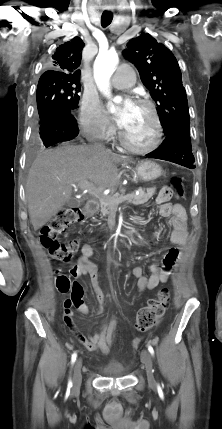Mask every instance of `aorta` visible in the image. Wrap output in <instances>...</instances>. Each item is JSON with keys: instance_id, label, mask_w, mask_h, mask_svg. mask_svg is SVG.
Here are the masks:
<instances>
[{"instance_id": "aorta-1", "label": "aorta", "mask_w": 222, "mask_h": 429, "mask_svg": "<svg viewBox=\"0 0 222 429\" xmlns=\"http://www.w3.org/2000/svg\"><path fill=\"white\" fill-rule=\"evenodd\" d=\"M118 54L114 50L99 52L94 63V78L97 83L99 90L107 97H110V85L109 80L115 71L118 64ZM114 101L119 103L120 97L114 98ZM114 106L111 107V111H114Z\"/></svg>"}]
</instances>
